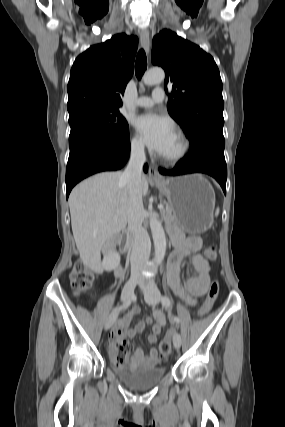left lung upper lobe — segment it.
Segmentation results:
<instances>
[{
    "mask_svg": "<svg viewBox=\"0 0 285 427\" xmlns=\"http://www.w3.org/2000/svg\"><path fill=\"white\" fill-rule=\"evenodd\" d=\"M151 60L165 70V90L172 85L168 112L189 141L205 133L223 135L222 81L212 56L163 30L153 40Z\"/></svg>",
    "mask_w": 285,
    "mask_h": 427,
    "instance_id": "obj_1",
    "label": "left lung upper lobe"
}]
</instances>
